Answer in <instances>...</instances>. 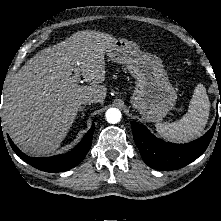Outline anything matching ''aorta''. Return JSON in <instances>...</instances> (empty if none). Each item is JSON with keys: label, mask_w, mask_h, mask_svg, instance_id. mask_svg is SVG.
<instances>
[{"label": "aorta", "mask_w": 221, "mask_h": 221, "mask_svg": "<svg viewBox=\"0 0 221 221\" xmlns=\"http://www.w3.org/2000/svg\"><path fill=\"white\" fill-rule=\"evenodd\" d=\"M121 119V112L117 108H109L106 111V120L111 124L118 123Z\"/></svg>", "instance_id": "1"}]
</instances>
